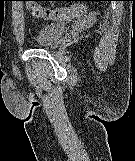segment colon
Wrapping results in <instances>:
<instances>
[{
  "label": "colon",
  "instance_id": "5ec220e1",
  "mask_svg": "<svg viewBox=\"0 0 135 161\" xmlns=\"http://www.w3.org/2000/svg\"><path fill=\"white\" fill-rule=\"evenodd\" d=\"M26 1L27 9L36 17L46 20H71L85 12L83 5H72L64 8H45L34 0Z\"/></svg>",
  "mask_w": 135,
  "mask_h": 161
}]
</instances>
